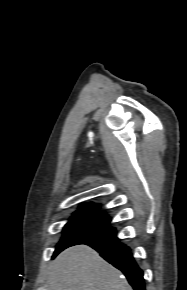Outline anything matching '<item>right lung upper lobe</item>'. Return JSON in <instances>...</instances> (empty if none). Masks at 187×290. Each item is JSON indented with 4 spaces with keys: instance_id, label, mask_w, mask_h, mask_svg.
<instances>
[{
    "instance_id": "right-lung-upper-lobe-1",
    "label": "right lung upper lobe",
    "mask_w": 187,
    "mask_h": 290,
    "mask_svg": "<svg viewBox=\"0 0 187 290\" xmlns=\"http://www.w3.org/2000/svg\"><path fill=\"white\" fill-rule=\"evenodd\" d=\"M98 208L97 204H83L80 209H95Z\"/></svg>"
}]
</instances>
